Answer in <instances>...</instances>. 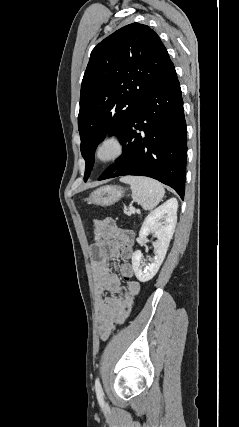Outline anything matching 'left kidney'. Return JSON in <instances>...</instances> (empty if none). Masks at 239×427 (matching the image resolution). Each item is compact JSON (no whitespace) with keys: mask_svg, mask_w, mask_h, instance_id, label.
Listing matches in <instances>:
<instances>
[{"mask_svg":"<svg viewBox=\"0 0 239 427\" xmlns=\"http://www.w3.org/2000/svg\"><path fill=\"white\" fill-rule=\"evenodd\" d=\"M177 209L178 201L175 198H171L150 212L145 218L139 232V237L145 239L149 234H153L157 238V241L155 257L148 266L144 267L141 263L142 253L140 250H136L132 255L133 270L139 281L147 282L158 272L175 230Z\"/></svg>","mask_w":239,"mask_h":427,"instance_id":"obj_1","label":"left kidney"}]
</instances>
